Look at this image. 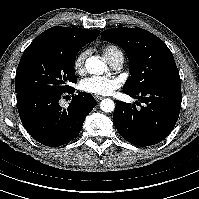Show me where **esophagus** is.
I'll list each match as a JSON object with an SVG mask.
<instances>
[{"mask_svg":"<svg viewBox=\"0 0 199 199\" xmlns=\"http://www.w3.org/2000/svg\"><path fill=\"white\" fill-rule=\"evenodd\" d=\"M94 98H95V100H96L97 102H100V101L103 99V97L97 96V95H95Z\"/></svg>","mask_w":199,"mask_h":199,"instance_id":"34e87169","label":"esophagus"}]
</instances>
